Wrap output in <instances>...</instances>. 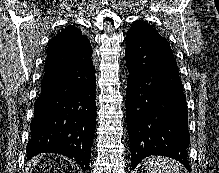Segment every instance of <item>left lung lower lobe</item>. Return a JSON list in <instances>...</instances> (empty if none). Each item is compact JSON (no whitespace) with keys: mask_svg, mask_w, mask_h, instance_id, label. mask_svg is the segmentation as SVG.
Wrapping results in <instances>:
<instances>
[{"mask_svg":"<svg viewBox=\"0 0 219 173\" xmlns=\"http://www.w3.org/2000/svg\"><path fill=\"white\" fill-rule=\"evenodd\" d=\"M130 73L126 119L132 169L150 155L171 157L188 170L190 143L186 97L166 38L126 37Z\"/></svg>","mask_w":219,"mask_h":173,"instance_id":"obj_1","label":"left lung lower lobe"}]
</instances>
